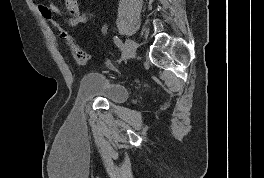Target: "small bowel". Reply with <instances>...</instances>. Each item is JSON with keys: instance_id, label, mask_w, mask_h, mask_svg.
I'll list each match as a JSON object with an SVG mask.
<instances>
[{"instance_id": "c3829d8e", "label": "small bowel", "mask_w": 264, "mask_h": 178, "mask_svg": "<svg viewBox=\"0 0 264 178\" xmlns=\"http://www.w3.org/2000/svg\"><path fill=\"white\" fill-rule=\"evenodd\" d=\"M63 3V10L50 1L46 6L53 14L64 17L66 23L71 27H77L81 24H85L88 21V14L85 11H81L79 9L77 0H63Z\"/></svg>"}]
</instances>
